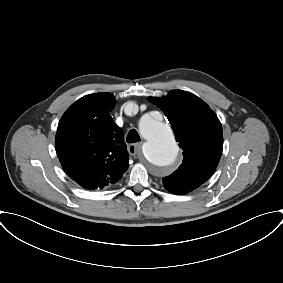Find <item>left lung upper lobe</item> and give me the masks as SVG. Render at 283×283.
Instances as JSON below:
<instances>
[{
    "label": "left lung upper lobe",
    "instance_id": "1",
    "mask_svg": "<svg viewBox=\"0 0 283 283\" xmlns=\"http://www.w3.org/2000/svg\"><path fill=\"white\" fill-rule=\"evenodd\" d=\"M150 100L165 113L183 150L182 164L163 179V185L172 193L185 194L215 172L223 147L221 123L205 102L182 90Z\"/></svg>",
    "mask_w": 283,
    "mask_h": 283
}]
</instances>
